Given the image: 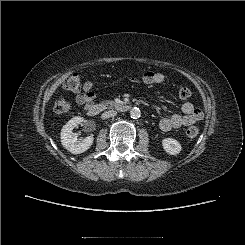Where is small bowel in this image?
Listing matches in <instances>:
<instances>
[{"label":"small bowel","instance_id":"small-bowel-1","mask_svg":"<svg viewBox=\"0 0 245 245\" xmlns=\"http://www.w3.org/2000/svg\"><path fill=\"white\" fill-rule=\"evenodd\" d=\"M147 85L160 84L164 80L161 73L148 71L145 72L140 78L136 79ZM95 94L93 92V84L87 81L83 85V92L76 96L77 104L87 107L94 100ZM183 114H173L164 117L160 120L159 127L162 131H170L183 126L192 125L203 118V112L198 107H195L191 102H185L182 105Z\"/></svg>","mask_w":245,"mask_h":245}]
</instances>
